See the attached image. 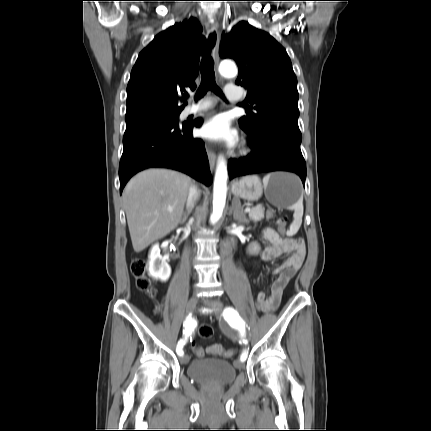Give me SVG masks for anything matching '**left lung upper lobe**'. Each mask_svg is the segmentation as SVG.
I'll return each instance as SVG.
<instances>
[{
	"instance_id": "obj_1",
	"label": "left lung upper lobe",
	"mask_w": 431,
	"mask_h": 431,
	"mask_svg": "<svg viewBox=\"0 0 431 431\" xmlns=\"http://www.w3.org/2000/svg\"><path fill=\"white\" fill-rule=\"evenodd\" d=\"M219 54L237 62L236 84L247 88L246 102L254 105L239 120L250 137L270 125L299 130L297 78L286 50L270 34L242 21L221 43Z\"/></svg>"
}]
</instances>
